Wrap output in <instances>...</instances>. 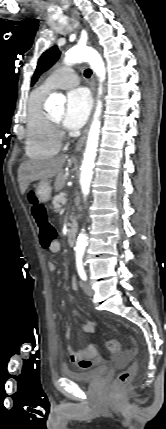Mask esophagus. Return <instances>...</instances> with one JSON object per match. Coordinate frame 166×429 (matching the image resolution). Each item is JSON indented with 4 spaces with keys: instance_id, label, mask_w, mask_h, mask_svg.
<instances>
[{
    "instance_id": "obj_1",
    "label": "esophagus",
    "mask_w": 166,
    "mask_h": 429,
    "mask_svg": "<svg viewBox=\"0 0 166 429\" xmlns=\"http://www.w3.org/2000/svg\"><path fill=\"white\" fill-rule=\"evenodd\" d=\"M72 18L73 19H78L79 18V13L76 10H74L72 12ZM95 90H96V81H95L94 74H92V77H91V91H92L93 100H95ZM90 121H91V119L89 120L87 127L83 131L82 136L80 137V139L78 140V142H77V144L75 146V152L80 151L81 148H82V146L85 143L86 136H87V133H88V128H89V125H90Z\"/></svg>"
}]
</instances>
